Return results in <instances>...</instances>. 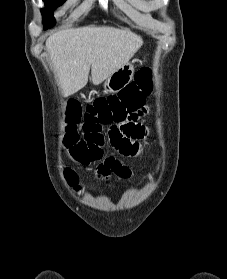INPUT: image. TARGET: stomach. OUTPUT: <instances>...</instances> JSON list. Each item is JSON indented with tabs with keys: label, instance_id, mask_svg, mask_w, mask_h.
I'll return each mask as SVG.
<instances>
[{
	"label": "stomach",
	"instance_id": "obj_1",
	"mask_svg": "<svg viewBox=\"0 0 227 279\" xmlns=\"http://www.w3.org/2000/svg\"><path fill=\"white\" fill-rule=\"evenodd\" d=\"M135 61H138V59L122 65L104 80L103 87L106 93H117L131 82L134 75Z\"/></svg>",
	"mask_w": 227,
	"mask_h": 279
}]
</instances>
